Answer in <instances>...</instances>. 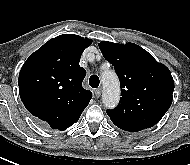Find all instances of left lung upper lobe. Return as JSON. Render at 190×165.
<instances>
[{"label": "left lung upper lobe", "instance_id": "1", "mask_svg": "<svg viewBox=\"0 0 190 165\" xmlns=\"http://www.w3.org/2000/svg\"><path fill=\"white\" fill-rule=\"evenodd\" d=\"M98 45L120 79V102L107 110L111 121L138 131L154 126L172 103L174 80L169 69L134 43Z\"/></svg>", "mask_w": 190, "mask_h": 165}]
</instances>
